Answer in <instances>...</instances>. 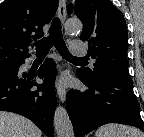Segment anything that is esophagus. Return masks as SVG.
Returning <instances> with one entry per match:
<instances>
[{"mask_svg": "<svg viewBox=\"0 0 144 137\" xmlns=\"http://www.w3.org/2000/svg\"><path fill=\"white\" fill-rule=\"evenodd\" d=\"M58 16L61 20V22H64L66 19V2L65 0H59V6H58ZM57 94L62 102L65 101L67 91L63 84L58 83L57 84Z\"/></svg>", "mask_w": 144, "mask_h": 137, "instance_id": "1", "label": "esophagus"}]
</instances>
